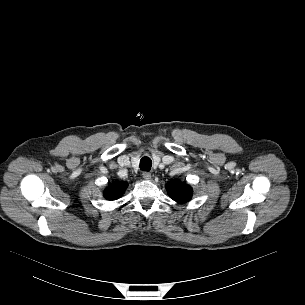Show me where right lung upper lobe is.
I'll return each mask as SVG.
<instances>
[{
    "instance_id": "obj_1",
    "label": "right lung upper lobe",
    "mask_w": 305,
    "mask_h": 305,
    "mask_svg": "<svg viewBox=\"0 0 305 305\" xmlns=\"http://www.w3.org/2000/svg\"><path fill=\"white\" fill-rule=\"evenodd\" d=\"M127 187L128 184L125 182H113L104 191V197L108 200H116L123 195Z\"/></svg>"
}]
</instances>
